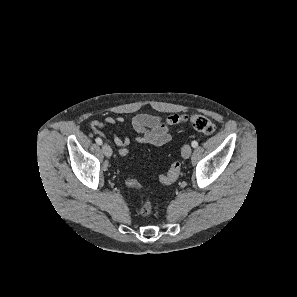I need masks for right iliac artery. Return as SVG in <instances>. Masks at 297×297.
Segmentation results:
<instances>
[{
  "mask_svg": "<svg viewBox=\"0 0 297 297\" xmlns=\"http://www.w3.org/2000/svg\"><path fill=\"white\" fill-rule=\"evenodd\" d=\"M95 141H96V143H97L98 145H101V144H102V140H101L100 138H96Z\"/></svg>",
  "mask_w": 297,
  "mask_h": 297,
  "instance_id": "1",
  "label": "right iliac artery"
}]
</instances>
